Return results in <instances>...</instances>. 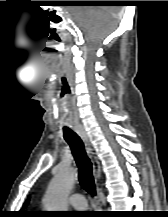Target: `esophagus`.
<instances>
[{
    "mask_svg": "<svg viewBox=\"0 0 168 217\" xmlns=\"http://www.w3.org/2000/svg\"><path fill=\"white\" fill-rule=\"evenodd\" d=\"M74 130L81 137V139L84 142V145L86 147V150H87L88 154L91 157L92 167H93V174H94L95 180L97 182V181H99V179L101 177V167H100L99 161L93 155L92 147H91V143H90L88 134H87L85 128L83 127V125H81V124H77L76 126H74Z\"/></svg>",
    "mask_w": 168,
    "mask_h": 217,
    "instance_id": "1",
    "label": "esophagus"
}]
</instances>
